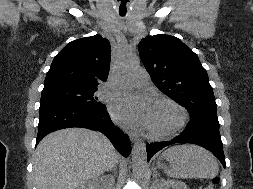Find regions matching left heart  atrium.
<instances>
[{
  "label": "left heart atrium",
  "instance_id": "1",
  "mask_svg": "<svg viewBox=\"0 0 253 189\" xmlns=\"http://www.w3.org/2000/svg\"><path fill=\"white\" fill-rule=\"evenodd\" d=\"M152 107L146 96L123 94L113 100L111 113L113 118L122 125L148 128Z\"/></svg>",
  "mask_w": 253,
  "mask_h": 189
}]
</instances>
